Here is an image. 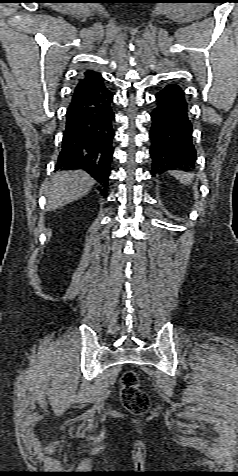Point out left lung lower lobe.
Listing matches in <instances>:
<instances>
[{"label":"left lung lower lobe","instance_id":"left-lung-lower-lobe-1","mask_svg":"<svg viewBox=\"0 0 238 476\" xmlns=\"http://www.w3.org/2000/svg\"><path fill=\"white\" fill-rule=\"evenodd\" d=\"M155 97L157 105L151 113L149 132L152 175L176 167H193L196 162L193 129L182 88L169 84Z\"/></svg>","mask_w":238,"mask_h":476}]
</instances>
